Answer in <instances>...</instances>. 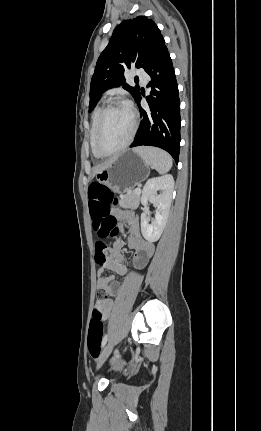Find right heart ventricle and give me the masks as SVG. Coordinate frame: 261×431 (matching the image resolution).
<instances>
[{
  "mask_svg": "<svg viewBox=\"0 0 261 431\" xmlns=\"http://www.w3.org/2000/svg\"><path fill=\"white\" fill-rule=\"evenodd\" d=\"M102 110V107H97L92 115V121H91V127H90V134H89V143H90V147H91V151L92 154L94 155V157L96 158H101L102 156H100L96 149H95V145H94V134H95V129H96V125H97V121L99 118V114Z\"/></svg>",
  "mask_w": 261,
  "mask_h": 431,
  "instance_id": "obj_1",
  "label": "right heart ventricle"
}]
</instances>
